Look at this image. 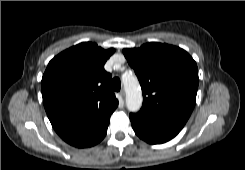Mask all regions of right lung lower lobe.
Instances as JSON below:
<instances>
[{"instance_id":"98d812e1","label":"right lung lower lobe","mask_w":245,"mask_h":170,"mask_svg":"<svg viewBox=\"0 0 245 170\" xmlns=\"http://www.w3.org/2000/svg\"><path fill=\"white\" fill-rule=\"evenodd\" d=\"M105 135H106V132L93 145L99 143L105 137Z\"/></svg>"}]
</instances>
